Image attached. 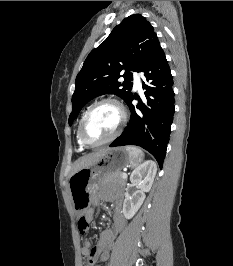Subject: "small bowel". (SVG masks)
Listing matches in <instances>:
<instances>
[{"mask_svg": "<svg viewBox=\"0 0 233 266\" xmlns=\"http://www.w3.org/2000/svg\"><path fill=\"white\" fill-rule=\"evenodd\" d=\"M100 199L99 195L94 197V205L98 203ZM105 199L109 200L108 197ZM114 215H113V226L104 230L99 237L98 243L91 247V242L89 239H85L82 245V255L86 263V266H93L94 263L99 260L100 262H105L109 257V251L115 241L118 231H121L125 228L126 221L124 216L120 211V200L114 199ZM93 210L87 214V221L89 222L92 219ZM91 256V261L87 263L86 258Z\"/></svg>", "mask_w": 233, "mask_h": 266, "instance_id": "small-bowel-1", "label": "small bowel"}]
</instances>
